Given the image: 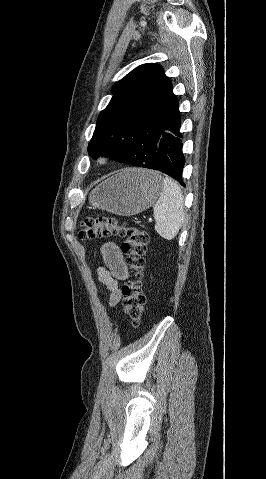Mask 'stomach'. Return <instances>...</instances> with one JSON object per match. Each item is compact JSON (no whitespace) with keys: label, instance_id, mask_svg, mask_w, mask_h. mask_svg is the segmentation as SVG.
Wrapping results in <instances>:
<instances>
[{"label":"stomach","instance_id":"0dacf381","mask_svg":"<svg viewBox=\"0 0 266 479\" xmlns=\"http://www.w3.org/2000/svg\"><path fill=\"white\" fill-rule=\"evenodd\" d=\"M163 188L157 172L124 169L98 185L90 194L93 208L122 216L136 215L154 204Z\"/></svg>","mask_w":266,"mask_h":479}]
</instances>
